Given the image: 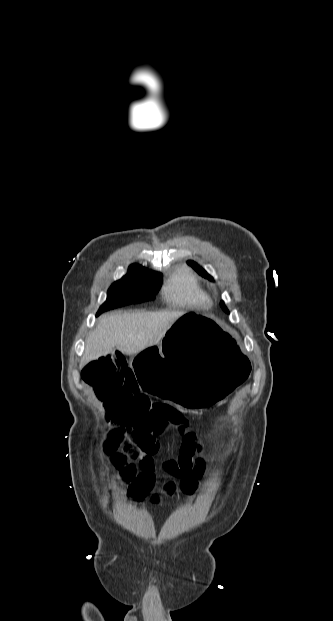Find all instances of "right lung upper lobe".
<instances>
[{"label": "right lung upper lobe", "instance_id": "obj_1", "mask_svg": "<svg viewBox=\"0 0 333 621\" xmlns=\"http://www.w3.org/2000/svg\"><path fill=\"white\" fill-rule=\"evenodd\" d=\"M132 265H135V266H140V265H138V264H132ZM140 267H142V266H140Z\"/></svg>", "mask_w": 333, "mask_h": 621}]
</instances>
